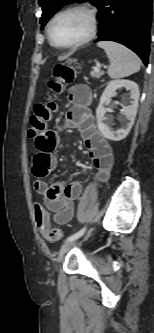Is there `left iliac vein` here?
<instances>
[{
    "label": "left iliac vein",
    "mask_w": 154,
    "mask_h": 333,
    "mask_svg": "<svg viewBox=\"0 0 154 333\" xmlns=\"http://www.w3.org/2000/svg\"><path fill=\"white\" fill-rule=\"evenodd\" d=\"M76 242H77V239L71 240V241H66L60 248L57 261H59L63 257V255L76 244Z\"/></svg>",
    "instance_id": "left-iliac-vein-1"
}]
</instances>
